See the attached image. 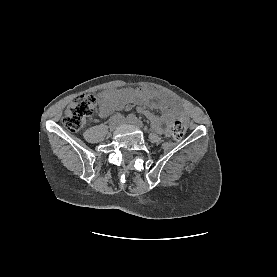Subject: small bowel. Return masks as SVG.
<instances>
[{
  "label": "small bowel",
  "mask_w": 277,
  "mask_h": 277,
  "mask_svg": "<svg viewBox=\"0 0 277 277\" xmlns=\"http://www.w3.org/2000/svg\"><path fill=\"white\" fill-rule=\"evenodd\" d=\"M101 108L99 116L107 117L116 110H121L126 104L140 101L146 105L159 109L161 115H153L147 109L138 108V111L143 113L150 119L152 127L158 133L163 131L162 125L166 124L165 133L171 134V126L174 117L179 110L173 98L165 93L153 89H123L115 91L103 92L99 95Z\"/></svg>",
  "instance_id": "obj_1"
}]
</instances>
